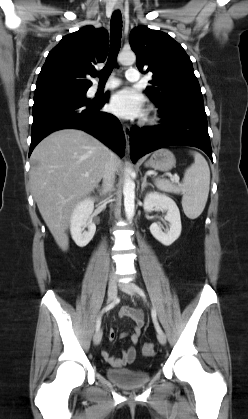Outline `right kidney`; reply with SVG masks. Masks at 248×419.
Returning a JSON list of instances; mask_svg holds the SVG:
<instances>
[{"label":"right kidney","instance_id":"right-kidney-1","mask_svg":"<svg viewBox=\"0 0 248 419\" xmlns=\"http://www.w3.org/2000/svg\"><path fill=\"white\" fill-rule=\"evenodd\" d=\"M95 198H86L74 208L70 219L72 239L79 247H85L93 238L96 226L92 222L91 214L94 210ZM88 228V231H84Z\"/></svg>","mask_w":248,"mask_h":419}]
</instances>
